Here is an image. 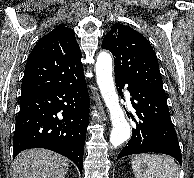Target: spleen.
Here are the masks:
<instances>
[{"instance_id": "1", "label": "spleen", "mask_w": 194, "mask_h": 178, "mask_svg": "<svg viewBox=\"0 0 194 178\" xmlns=\"http://www.w3.org/2000/svg\"><path fill=\"white\" fill-rule=\"evenodd\" d=\"M131 164L136 178H179L178 165L169 156L135 155Z\"/></svg>"}]
</instances>
